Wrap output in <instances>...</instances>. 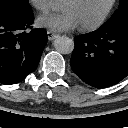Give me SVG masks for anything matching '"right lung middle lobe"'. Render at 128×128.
<instances>
[{
	"mask_svg": "<svg viewBox=\"0 0 128 128\" xmlns=\"http://www.w3.org/2000/svg\"><path fill=\"white\" fill-rule=\"evenodd\" d=\"M32 13L28 0H0V16L27 15Z\"/></svg>",
	"mask_w": 128,
	"mask_h": 128,
	"instance_id": "dd1d6c3e",
	"label": "right lung middle lobe"
}]
</instances>
